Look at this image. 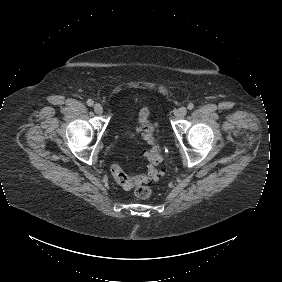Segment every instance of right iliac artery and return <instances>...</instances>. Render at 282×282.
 Segmentation results:
<instances>
[{
	"label": "right iliac artery",
	"instance_id": "1",
	"mask_svg": "<svg viewBox=\"0 0 282 282\" xmlns=\"http://www.w3.org/2000/svg\"><path fill=\"white\" fill-rule=\"evenodd\" d=\"M93 103H94L93 100H91V99H88V100H87V105H88V106H92Z\"/></svg>",
	"mask_w": 282,
	"mask_h": 282
}]
</instances>
